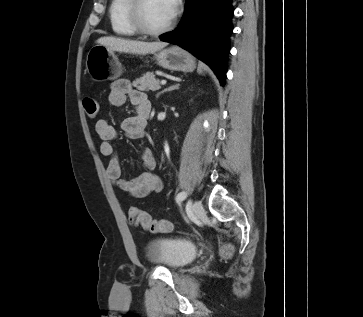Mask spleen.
<instances>
[{"label":"spleen","instance_id":"obj_1","mask_svg":"<svg viewBox=\"0 0 363 317\" xmlns=\"http://www.w3.org/2000/svg\"><path fill=\"white\" fill-rule=\"evenodd\" d=\"M204 65L202 63H199L198 65V73L201 74L203 72Z\"/></svg>","mask_w":363,"mask_h":317}]
</instances>
